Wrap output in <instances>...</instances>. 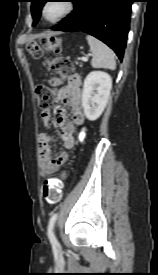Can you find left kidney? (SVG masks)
Here are the masks:
<instances>
[{
	"label": "left kidney",
	"mask_w": 158,
	"mask_h": 275,
	"mask_svg": "<svg viewBox=\"0 0 158 275\" xmlns=\"http://www.w3.org/2000/svg\"><path fill=\"white\" fill-rule=\"evenodd\" d=\"M112 88V79L104 71H92L84 80L82 106L86 118L97 120L104 111Z\"/></svg>",
	"instance_id": "1"
}]
</instances>
